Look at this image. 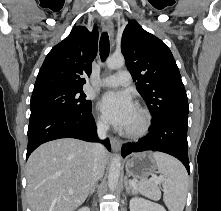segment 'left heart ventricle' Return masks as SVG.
<instances>
[{"instance_id": "left-heart-ventricle-1", "label": "left heart ventricle", "mask_w": 221, "mask_h": 211, "mask_svg": "<svg viewBox=\"0 0 221 211\" xmlns=\"http://www.w3.org/2000/svg\"><path fill=\"white\" fill-rule=\"evenodd\" d=\"M141 122V117L139 115V113L137 112V110H135L128 126L126 127L127 130H132V129H135L139 126Z\"/></svg>"}]
</instances>
